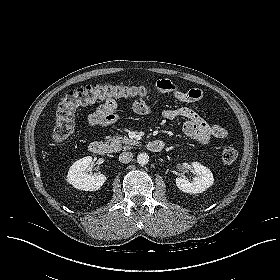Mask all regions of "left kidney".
Listing matches in <instances>:
<instances>
[{"label":"left kidney","mask_w":280,"mask_h":280,"mask_svg":"<svg viewBox=\"0 0 280 280\" xmlns=\"http://www.w3.org/2000/svg\"><path fill=\"white\" fill-rule=\"evenodd\" d=\"M192 167L194 168L197 176L194 177L192 181L186 180L182 177H177L175 180L176 185L184 193H202L213 185V174L209 168L199 162H193Z\"/></svg>","instance_id":"obj_1"}]
</instances>
